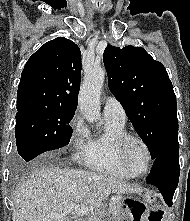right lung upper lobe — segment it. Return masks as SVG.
<instances>
[{
	"mask_svg": "<svg viewBox=\"0 0 190 221\" xmlns=\"http://www.w3.org/2000/svg\"><path fill=\"white\" fill-rule=\"evenodd\" d=\"M81 80V52L64 37L45 43L25 64L17 111L35 107L74 110Z\"/></svg>",
	"mask_w": 190,
	"mask_h": 221,
	"instance_id": "obj_1",
	"label": "right lung upper lobe"
}]
</instances>
